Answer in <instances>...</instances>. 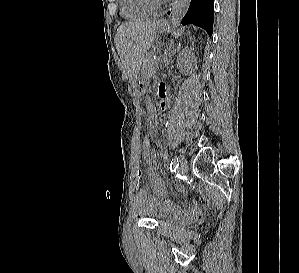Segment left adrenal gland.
I'll list each match as a JSON object with an SVG mask.
<instances>
[{
    "mask_svg": "<svg viewBox=\"0 0 299 273\" xmlns=\"http://www.w3.org/2000/svg\"><path fill=\"white\" fill-rule=\"evenodd\" d=\"M179 48H180V45H178L177 46V48L176 49H173V50H168V53L165 55V60H164V62H165V67H167L168 68V66L170 65V63H171V59H172V57L175 55V53L179 50Z\"/></svg>",
    "mask_w": 299,
    "mask_h": 273,
    "instance_id": "1",
    "label": "left adrenal gland"
}]
</instances>
